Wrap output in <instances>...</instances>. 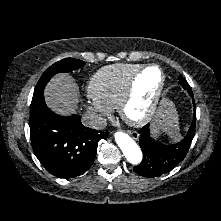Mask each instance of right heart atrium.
<instances>
[{
    "instance_id": "obj_1",
    "label": "right heart atrium",
    "mask_w": 221,
    "mask_h": 221,
    "mask_svg": "<svg viewBox=\"0 0 221 221\" xmlns=\"http://www.w3.org/2000/svg\"><path fill=\"white\" fill-rule=\"evenodd\" d=\"M85 109L98 123H101L111 113V108L92 99L85 104Z\"/></svg>"
}]
</instances>
